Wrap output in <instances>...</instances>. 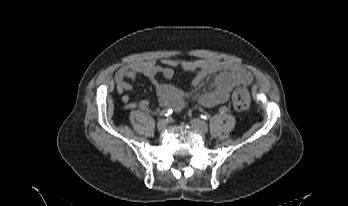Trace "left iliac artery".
<instances>
[{"label": "left iliac artery", "mask_w": 348, "mask_h": 206, "mask_svg": "<svg viewBox=\"0 0 348 206\" xmlns=\"http://www.w3.org/2000/svg\"><path fill=\"white\" fill-rule=\"evenodd\" d=\"M228 111V106H222V110H220L221 114H224ZM201 118L204 119V114H201Z\"/></svg>", "instance_id": "44dca946"}]
</instances>
